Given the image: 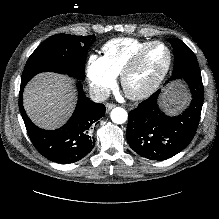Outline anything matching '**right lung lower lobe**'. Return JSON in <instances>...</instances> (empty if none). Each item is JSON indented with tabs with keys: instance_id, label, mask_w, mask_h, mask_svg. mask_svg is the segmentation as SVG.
<instances>
[{
	"instance_id": "98d812e1",
	"label": "right lung lower lobe",
	"mask_w": 219,
	"mask_h": 219,
	"mask_svg": "<svg viewBox=\"0 0 219 219\" xmlns=\"http://www.w3.org/2000/svg\"><path fill=\"white\" fill-rule=\"evenodd\" d=\"M79 89L78 103L69 121L61 128L53 131L40 129L28 118L22 103L23 86L20 87L19 108L28 135L35 148L51 161L66 164L82 159L94 147L88 130L105 115V106L88 99Z\"/></svg>"
}]
</instances>
